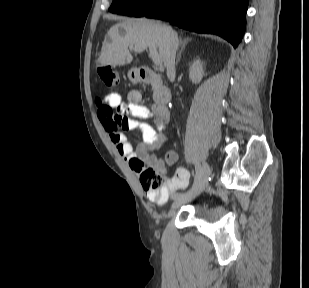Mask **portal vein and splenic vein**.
Instances as JSON below:
<instances>
[{
	"mask_svg": "<svg viewBox=\"0 0 309 288\" xmlns=\"http://www.w3.org/2000/svg\"><path fill=\"white\" fill-rule=\"evenodd\" d=\"M133 49L135 52H142L143 50L146 49V47L144 46H139V47H134L131 48ZM150 50V56L152 58V61L155 65H161L162 64V60L161 57L159 56V54L157 53V50L155 47H149Z\"/></svg>",
	"mask_w": 309,
	"mask_h": 288,
	"instance_id": "obj_1",
	"label": "portal vein and splenic vein"
}]
</instances>
